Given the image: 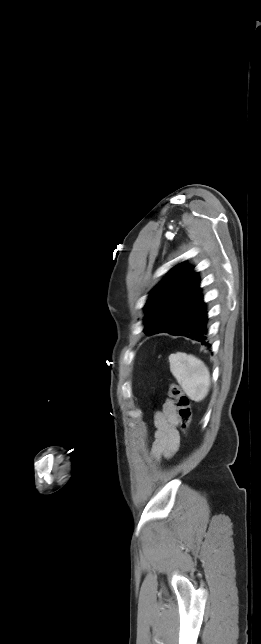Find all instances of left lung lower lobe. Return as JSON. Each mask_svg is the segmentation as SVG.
Instances as JSON below:
<instances>
[{
	"mask_svg": "<svg viewBox=\"0 0 261 644\" xmlns=\"http://www.w3.org/2000/svg\"><path fill=\"white\" fill-rule=\"evenodd\" d=\"M207 323L206 305L203 304L189 320L170 331L169 334L185 336L210 347Z\"/></svg>",
	"mask_w": 261,
	"mask_h": 644,
	"instance_id": "1",
	"label": "left lung lower lobe"
}]
</instances>
